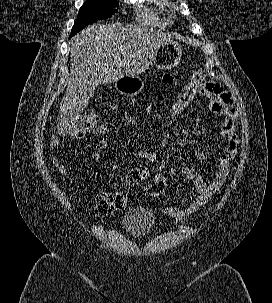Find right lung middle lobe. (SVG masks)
I'll list each match as a JSON object with an SVG mask.
<instances>
[{
    "label": "right lung middle lobe",
    "instance_id": "dd1d6c3e",
    "mask_svg": "<svg viewBox=\"0 0 272 303\" xmlns=\"http://www.w3.org/2000/svg\"><path fill=\"white\" fill-rule=\"evenodd\" d=\"M118 5L116 0H87L79 10L70 37L92 22L109 18L117 11L114 8Z\"/></svg>",
    "mask_w": 272,
    "mask_h": 303
}]
</instances>
